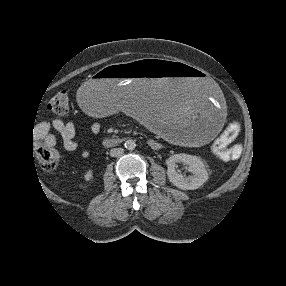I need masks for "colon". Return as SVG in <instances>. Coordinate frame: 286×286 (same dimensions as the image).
Segmentation results:
<instances>
[{
  "instance_id": "5ec220e1",
  "label": "colon",
  "mask_w": 286,
  "mask_h": 286,
  "mask_svg": "<svg viewBox=\"0 0 286 286\" xmlns=\"http://www.w3.org/2000/svg\"><path fill=\"white\" fill-rule=\"evenodd\" d=\"M48 109L55 115L64 116L69 112V96L66 92L56 94L48 102ZM241 126L238 121H232L224 129L213 145V150L222 158H229V145L237 138ZM34 153L42 169L53 172L57 168L58 152L44 141H36Z\"/></svg>"
}]
</instances>
